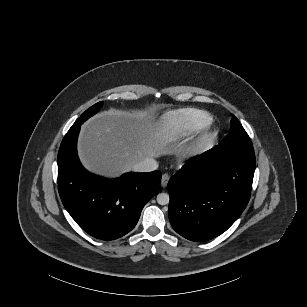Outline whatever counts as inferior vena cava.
I'll use <instances>...</instances> for the list:
<instances>
[{"label":"inferior vena cava","instance_id":"inferior-vena-cava-1","mask_svg":"<svg viewBox=\"0 0 307 307\" xmlns=\"http://www.w3.org/2000/svg\"><path fill=\"white\" fill-rule=\"evenodd\" d=\"M158 163L154 158H147L143 162L133 166L132 171L138 173L151 172L156 170Z\"/></svg>","mask_w":307,"mask_h":307}]
</instances>
